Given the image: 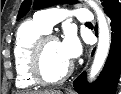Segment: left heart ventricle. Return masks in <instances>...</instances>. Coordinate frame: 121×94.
Returning a JSON list of instances; mask_svg holds the SVG:
<instances>
[{"label":"left heart ventricle","instance_id":"1","mask_svg":"<svg viewBox=\"0 0 121 94\" xmlns=\"http://www.w3.org/2000/svg\"><path fill=\"white\" fill-rule=\"evenodd\" d=\"M71 61L65 56L58 41H49L43 49L42 69L45 77H59L70 65Z\"/></svg>","mask_w":121,"mask_h":94}]
</instances>
